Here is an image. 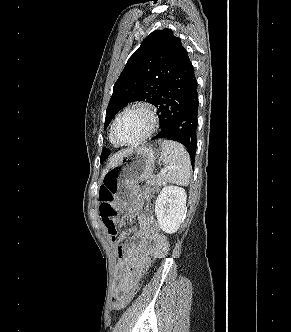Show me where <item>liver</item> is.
<instances>
[{
  "label": "liver",
  "mask_w": 291,
  "mask_h": 332,
  "mask_svg": "<svg viewBox=\"0 0 291 332\" xmlns=\"http://www.w3.org/2000/svg\"><path fill=\"white\" fill-rule=\"evenodd\" d=\"M131 150L132 149H125L112 156L110 162L107 164V168L102 172L101 179L104 177L109 168L113 167L125 154L129 153Z\"/></svg>",
  "instance_id": "liver-1"
}]
</instances>
